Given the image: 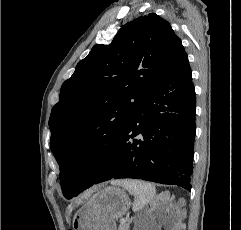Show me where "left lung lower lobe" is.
I'll use <instances>...</instances> for the list:
<instances>
[{
	"instance_id": "obj_1",
	"label": "left lung lower lobe",
	"mask_w": 241,
	"mask_h": 230,
	"mask_svg": "<svg viewBox=\"0 0 241 230\" xmlns=\"http://www.w3.org/2000/svg\"><path fill=\"white\" fill-rule=\"evenodd\" d=\"M196 95L186 52L137 105L114 142L100 140L75 162L77 195L112 178H137L191 191Z\"/></svg>"
}]
</instances>
